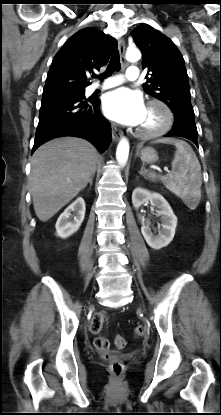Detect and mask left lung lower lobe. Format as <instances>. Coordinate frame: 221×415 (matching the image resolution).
I'll use <instances>...</instances> for the list:
<instances>
[{"instance_id":"obj_1","label":"left lung lower lobe","mask_w":221,"mask_h":415,"mask_svg":"<svg viewBox=\"0 0 221 415\" xmlns=\"http://www.w3.org/2000/svg\"><path fill=\"white\" fill-rule=\"evenodd\" d=\"M197 128L194 121V113L185 112L175 115L172 130L166 134L168 137L179 136L191 140L198 146Z\"/></svg>"}]
</instances>
